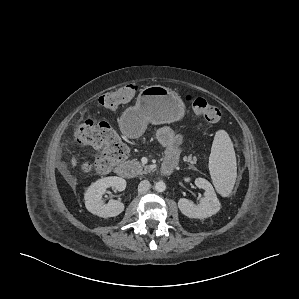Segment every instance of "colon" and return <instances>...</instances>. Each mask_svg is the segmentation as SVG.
<instances>
[{
	"instance_id": "obj_1",
	"label": "colon",
	"mask_w": 299,
	"mask_h": 299,
	"mask_svg": "<svg viewBox=\"0 0 299 299\" xmlns=\"http://www.w3.org/2000/svg\"><path fill=\"white\" fill-rule=\"evenodd\" d=\"M137 86L125 85L115 91L104 93L99 97V104L107 109H115L133 99ZM185 101L192 111L203 117L208 123H217L221 118L220 109L206 99L187 95ZM76 140L99 150L96 158L83 165L84 171L105 174L124 160L128 155L127 147L119 139L112 127L106 122L85 121L75 130Z\"/></svg>"
}]
</instances>
